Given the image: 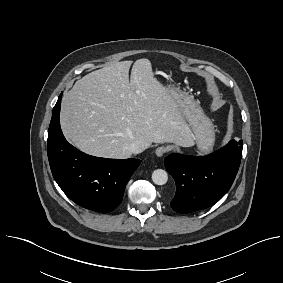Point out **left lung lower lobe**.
Listing matches in <instances>:
<instances>
[{"mask_svg": "<svg viewBox=\"0 0 283 283\" xmlns=\"http://www.w3.org/2000/svg\"><path fill=\"white\" fill-rule=\"evenodd\" d=\"M242 141L231 140L220 150L202 157L171 154L165 167L176 182L171 207L191 213L218 202L230 189L239 169Z\"/></svg>", "mask_w": 283, "mask_h": 283, "instance_id": "left-lung-lower-lobe-1", "label": "left lung lower lobe"}]
</instances>
